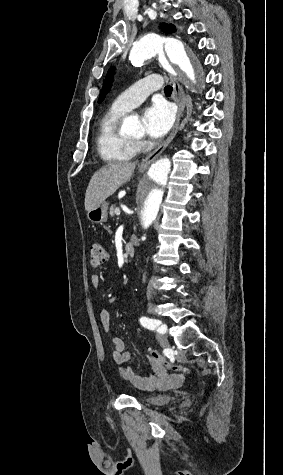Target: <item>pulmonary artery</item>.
Listing matches in <instances>:
<instances>
[{
  "mask_svg": "<svg viewBox=\"0 0 283 475\" xmlns=\"http://www.w3.org/2000/svg\"><path fill=\"white\" fill-rule=\"evenodd\" d=\"M164 87L165 82L163 80H136L114 100L112 105L117 109L128 111L140 104L146 96H150L152 91Z\"/></svg>",
  "mask_w": 283,
  "mask_h": 475,
  "instance_id": "e3ab8cb5",
  "label": "pulmonary artery"
}]
</instances>
